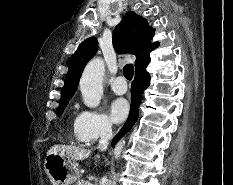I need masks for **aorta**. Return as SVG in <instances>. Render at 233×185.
I'll return each instance as SVG.
<instances>
[{
  "mask_svg": "<svg viewBox=\"0 0 233 185\" xmlns=\"http://www.w3.org/2000/svg\"><path fill=\"white\" fill-rule=\"evenodd\" d=\"M105 72L104 61L100 58L91 60L85 67L81 79L80 90L84 104L90 108H95L100 104L103 95V76ZM124 146V141H120L114 149V157L117 159Z\"/></svg>",
  "mask_w": 233,
  "mask_h": 185,
  "instance_id": "obj_1",
  "label": "aorta"
}]
</instances>
